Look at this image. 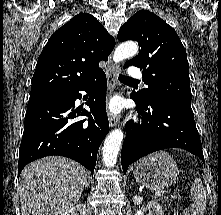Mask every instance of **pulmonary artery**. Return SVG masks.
<instances>
[{
    "label": "pulmonary artery",
    "mask_w": 221,
    "mask_h": 215,
    "mask_svg": "<svg viewBox=\"0 0 221 215\" xmlns=\"http://www.w3.org/2000/svg\"><path fill=\"white\" fill-rule=\"evenodd\" d=\"M129 76L133 79H139L142 77V72L139 68L137 67H131L129 69Z\"/></svg>",
    "instance_id": "pulmonary-artery-1"
}]
</instances>
